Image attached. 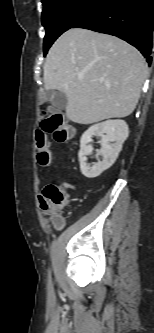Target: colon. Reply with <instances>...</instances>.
Instances as JSON below:
<instances>
[{
    "label": "colon",
    "instance_id": "1",
    "mask_svg": "<svg viewBox=\"0 0 154 333\" xmlns=\"http://www.w3.org/2000/svg\"><path fill=\"white\" fill-rule=\"evenodd\" d=\"M47 135H51L58 143H65L73 138L74 128L59 113L50 114L42 120L35 134L36 160L41 167L51 163ZM68 187L67 184H49L39 196L41 210L52 216V222L57 227L63 222L60 212L66 204Z\"/></svg>",
    "mask_w": 154,
    "mask_h": 333
}]
</instances>
